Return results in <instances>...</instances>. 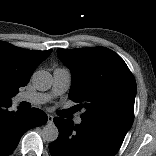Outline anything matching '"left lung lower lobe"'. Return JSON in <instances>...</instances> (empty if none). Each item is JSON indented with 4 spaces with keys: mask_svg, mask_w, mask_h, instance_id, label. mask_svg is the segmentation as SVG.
Instances as JSON below:
<instances>
[{
    "mask_svg": "<svg viewBox=\"0 0 156 156\" xmlns=\"http://www.w3.org/2000/svg\"><path fill=\"white\" fill-rule=\"evenodd\" d=\"M58 138L50 143L52 156H115L128 130L111 122L72 121L56 117Z\"/></svg>",
    "mask_w": 156,
    "mask_h": 156,
    "instance_id": "left-lung-lower-lobe-1",
    "label": "left lung lower lobe"
}]
</instances>
